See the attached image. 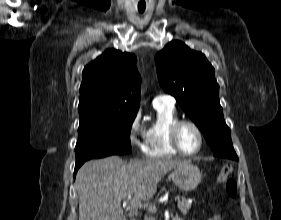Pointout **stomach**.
Here are the masks:
<instances>
[{
    "mask_svg": "<svg viewBox=\"0 0 281 220\" xmlns=\"http://www.w3.org/2000/svg\"><path fill=\"white\" fill-rule=\"evenodd\" d=\"M173 183L184 191L194 190L201 181L202 173L199 168L192 165L186 164L174 168L172 174Z\"/></svg>",
    "mask_w": 281,
    "mask_h": 220,
    "instance_id": "stomach-1",
    "label": "stomach"
}]
</instances>
